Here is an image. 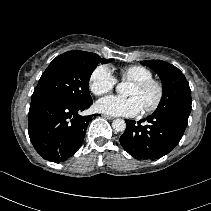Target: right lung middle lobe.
<instances>
[{
    "label": "right lung middle lobe",
    "instance_id": "right-lung-middle-lobe-1",
    "mask_svg": "<svg viewBox=\"0 0 211 211\" xmlns=\"http://www.w3.org/2000/svg\"><path fill=\"white\" fill-rule=\"evenodd\" d=\"M113 59L79 50L57 56L42 74L31 101L51 100L73 106L92 102L89 79L98 64Z\"/></svg>",
    "mask_w": 211,
    "mask_h": 211
}]
</instances>
